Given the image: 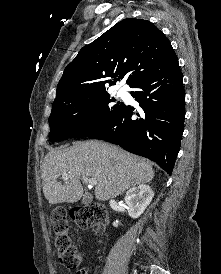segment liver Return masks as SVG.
I'll use <instances>...</instances> for the list:
<instances>
[{
    "instance_id": "obj_1",
    "label": "liver",
    "mask_w": 221,
    "mask_h": 274,
    "mask_svg": "<svg viewBox=\"0 0 221 274\" xmlns=\"http://www.w3.org/2000/svg\"><path fill=\"white\" fill-rule=\"evenodd\" d=\"M68 175V179L63 177ZM96 180L95 196L107 201L154 178L145 159L101 141L75 142L51 150L42 164L43 193L49 204L75 203L83 196L82 176ZM62 177L64 183L58 181Z\"/></svg>"
}]
</instances>
